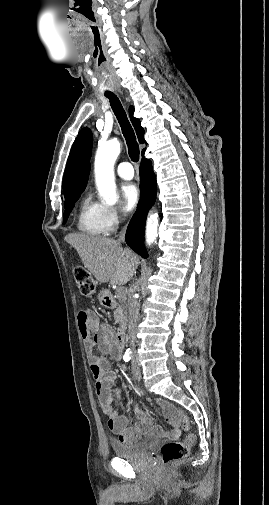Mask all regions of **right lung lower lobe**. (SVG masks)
Masks as SVG:
<instances>
[{"label": "right lung lower lobe", "mask_w": 269, "mask_h": 505, "mask_svg": "<svg viewBox=\"0 0 269 505\" xmlns=\"http://www.w3.org/2000/svg\"><path fill=\"white\" fill-rule=\"evenodd\" d=\"M140 191L138 208L129 222L125 240L136 253L147 258L148 254L143 246L145 221L148 210L156 200L157 184L152 162L144 157L140 165Z\"/></svg>", "instance_id": "1"}]
</instances>
